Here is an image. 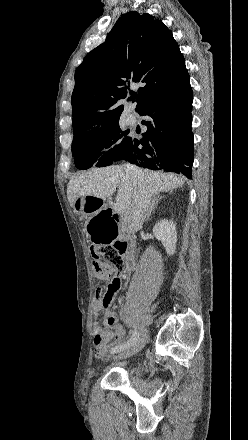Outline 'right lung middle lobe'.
<instances>
[{
  "label": "right lung middle lobe",
  "mask_w": 248,
  "mask_h": 440,
  "mask_svg": "<svg viewBox=\"0 0 248 440\" xmlns=\"http://www.w3.org/2000/svg\"><path fill=\"white\" fill-rule=\"evenodd\" d=\"M131 137L122 131L119 122L106 128L75 135L72 142L74 163L78 169L104 167L120 160Z\"/></svg>",
  "instance_id": "dd1d6c3e"
}]
</instances>
